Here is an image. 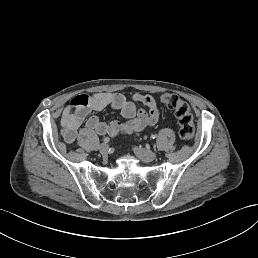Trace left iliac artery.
I'll return each instance as SVG.
<instances>
[{"label":"left iliac artery","mask_w":258,"mask_h":258,"mask_svg":"<svg viewBox=\"0 0 258 258\" xmlns=\"http://www.w3.org/2000/svg\"><path fill=\"white\" fill-rule=\"evenodd\" d=\"M157 135L156 134H152L151 135V139H156Z\"/></svg>","instance_id":"obj_1"}]
</instances>
